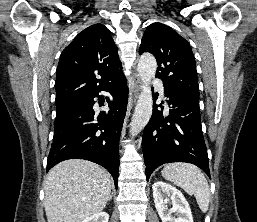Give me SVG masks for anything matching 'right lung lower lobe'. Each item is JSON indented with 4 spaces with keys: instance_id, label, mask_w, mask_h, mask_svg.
<instances>
[{
    "instance_id": "1",
    "label": "right lung lower lobe",
    "mask_w": 257,
    "mask_h": 222,
    "mask_svg": "<svg viewBox=\"0 0 257 222\" xmlns=\"http://www.w3.org/2000/svg\"><path fill=\"white\" fill-rule=\"evenodd\" d=\"M100 91H109L113 99L108 101V113L96 118L93 105L95 97L104 103ZM83 105L73 106L56 114L54 137L47 160V171L67 159H85L105 167L117 186L119 176V139L128 101V87L123 73L117 75L105 88Z\"/></svg>"
}]
</instances>
